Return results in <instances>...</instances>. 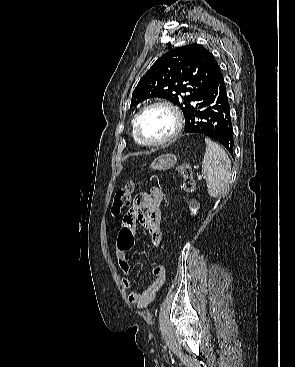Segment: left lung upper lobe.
<instances>
[{
	"label": "left lung upper lobe",
	"mask_w": 295,
	"mask_h": 367,
	"mask_svg": "<svg viewBox=\"0 0 295 367\" xmlns=\"http://www.w3.org/2000/svg\"><path fill=\"white\" fill-rule=\"evenodd\" d=\"M217 65L212 53L200 44L170 50L140 79L131 107L148 98H165L179 106L185 117Z\"/></svg>",
	"instance_id": "left-lung-upper-lobe-1"
}]
</instances>
